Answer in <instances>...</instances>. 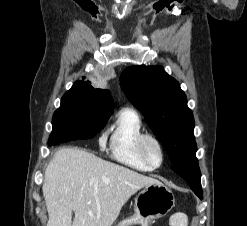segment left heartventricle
<instances>
[{
  "label": "left heart ventricle",
  "mask_w": 247,
  "mask_h": 226,
  "mask_svg": "<svg viewBox=\"0 0 247 226\" xmlns=\"http://www.w3.org/2000/svg\"><path fill=\"white\" fill-rule=\"evenodd\" d=\"M146 153L149 157V159L151 160L152 163L154 164H158L160 161V153L159 150L157 148V146L155 145V143H153L152 141H148L146 144Z\"/></svg>",
  "instance_id": "b2bd125f"
}]
</instances>
